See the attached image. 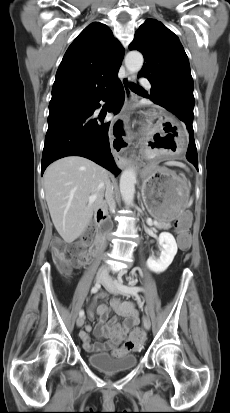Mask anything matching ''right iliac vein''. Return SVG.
Listing matches in <instances>:
<instances>
[{
	"mask_svg": "<svg viewBox=\"0 0 230 413\" xmlns=\"http://www.w3.org/2000/svg\"><path fill=\"white\" fill-rule=\"evenodd\" d=\"M107 275L105 274L104 271H99L96 275V282L100 283L103 282L106 279ZM84 324V317L80 316L78 317L77 321H76V325L78 327H81Z\"/></svg>",
	"mask_w": 230,
	"mask_h": 413,
	"instance_id": "obj_1",
	"label": "right iliac vein"
}]
</instances>
